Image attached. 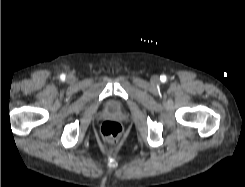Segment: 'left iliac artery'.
I'll return each instance as SVG.
<instances>
[{
	"label": "left iliac artery",
	"instance_id": "left-iliac-artery-1",
	"mask_svg": "<svg viewBox=\"0 0 245 187\" xmlns=\"http://www.w3.org/2000/svg\"><path fill=\"white\" fill-rule=\"evenodd\" d=\"M160 80H161V82H166V76H165V75H162V76L160 77Z\"/></svg>",
	"mask_w": 245,
	"mask_h": 187
}]
</instances>
